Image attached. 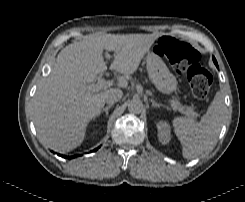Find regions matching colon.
I'll list each match as a JSON object with an SVG mask.
<instances>
[{
  "instance_id": "5ec220e1",
  "label": "colon",
  "mask_w": 245,
  "mask_h": 202,
  "mask_svg": "<svg viewBox=\"0 0 245 202\" xmlns=\"http://www.w3.org/2000/svg\"><path fill=\"white\" fill-rule=\"evenodd\" d=\"M158 46L164 58L177 72L186 73L192 92L204 98L211 87L212 76L200 66V54L188 43L172 36H163Z\"/></svg>"
}]
</instances>
